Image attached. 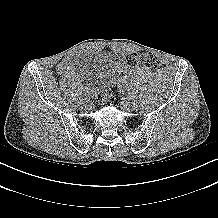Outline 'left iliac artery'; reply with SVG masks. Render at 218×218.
I'll list each match as a JSON object with an SVG mask.
<instances>
[{"label":"left iliac artery","instance_id":"obj_1","mask_svg":"<svg viewBox=\"0 0 218 218\" xmlns=\"http://www.w3.org/2000/svg\"><path fill=\"white\" fill-rule=\"evenodd\" d=\"M126 98H127V99H130L131 101H134V100H135V97L132 96V95H130V94H127V95H126Z\"/></svg>","mask_w":218,"mask_h":218}]
</instances>
